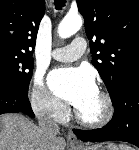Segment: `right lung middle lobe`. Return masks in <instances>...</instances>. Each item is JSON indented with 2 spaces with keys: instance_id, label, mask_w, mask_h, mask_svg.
Listing matches in <instances>:
<instances>
[{
  "instance_id": "1",
  "label": "right lung middle lobe",
  "mask_w": 139,
  "mask_h": 150,
  "mask_svg": "<svg viewBox=\"0 0 139 150\" xmlns=\"http://www.w3.org/2000/svg\"><path fill=\"white\" fill-rule=\"evenodd\" d=\"M33 66L32 55L0 49V85L28 91Z\"/></svg>"
}]
</instances>
